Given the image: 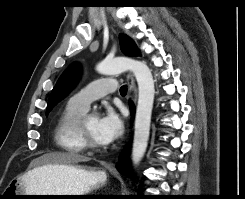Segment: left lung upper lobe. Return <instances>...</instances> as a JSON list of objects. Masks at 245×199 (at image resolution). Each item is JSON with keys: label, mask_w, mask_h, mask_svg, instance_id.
Returning a JSON list of instances; mask_svg holds the SVG:
<instances>
[{"label": "left lung upper lobe", "mask_w": 245, "mask_h": 199, "mask_svg": "<svg viewBox=\"0 0 245 199\" xmlns=\"http://www.w3.org/2000/svg\"><path fill=\"white\" fill-rule=\"evenodd\" d=\"M120 45L122 52L127 56H139L140 53L138 51L137 46L133 42L131 38L126 35H120ZM81 74V69L78 64H71L60 76L55 87L53 88L47 109L46 114L50 112V110L61 101L69 91L75 86Z\"/></svg>", "instance_id": "1"}]
</instances>
